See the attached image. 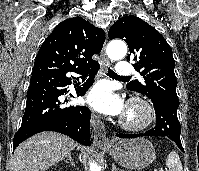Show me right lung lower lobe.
I'll use <instances>...</instances> for the list:
<instances>
[{"label": "right lung lower lobe", "instance_id": "98d812e1", "mask_svg": "<svg viewBox=\"0 0 199 171\" xmlns=\"http://www.w3.org/2000/svg\"><path fill=\"white\" fill-rule=\"evenodd\" d=\"M99 63L73 71L89 75L83 86L75 87L78 96H83L93 84ZM66 73L43 71L32 73L22 124L14 136L13 149L30 136L43 131H56L69 136L82 145H90V110L86 106H68L59 96L66 92L60 87L69 85ZM69 81V82H68ZM71 97H73L70 94Z\"/></svg>", "mask_w": 199, "mask_h": 171}]
</instances>
